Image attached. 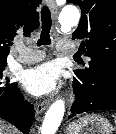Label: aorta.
<instances>
[{"label":"aorta","instance_id":"aorta-1","mask_svg":"<svg viewBox=\"0 0 116 134\" xmlns=\"http://www.w3.org/2000/svg\"><path fill=\"white\" fill-rule=\"evenodd\" d=\"M80 18L79 10L74 6H67L62 10L61 21L63 26L70 27ZM65 112L62 99L56 100L45 114L41 127V134H55L61 124Z\"/></svg>","mask_w":116,"mask_h":134}]
</instances>
